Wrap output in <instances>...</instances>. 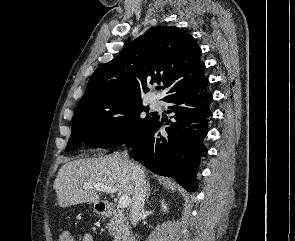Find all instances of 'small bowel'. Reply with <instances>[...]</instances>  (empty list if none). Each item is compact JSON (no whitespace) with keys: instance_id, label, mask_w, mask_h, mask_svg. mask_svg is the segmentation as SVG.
I'll return each mask as SVG.
<instances>
[{"instance_id":"obj_1","label":"small bowel","mask_w":295,"mask_h":241,"mask_svg":"<svg viewBox=\"0 0 295 241\" xmlns=\"http://www.w3.org/2000/svg\"><path fill=\"white\" fill-rule=\"evenodd\" d=\"M59 241H60V238H59ZM83 241H95L94 237L90 234H86L84 237H83Z\"/></svg>"}]
</instances>
